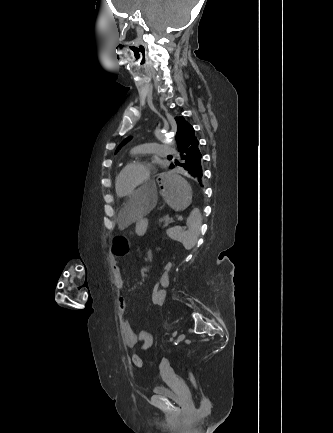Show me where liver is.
Returning a JSON list of instances; mask_svg holds the SVG:
<instances>
[{"label":"liver","mask_w":333,"mask_h":433,"mask_svg":"<svg viewBox=\"0 0 333 433\" xmlns=\"http://www.w3.org/2000/svg\"><path fill=\"white\" fill-rule=\"evenodd\" d=\"M141 192H130V201H120L118 214V228L124 230L137 220H141L144 215H148L158 200V193L155 192L157 186L155 183H141L139 186ZM151 201H154L153 205Z\"/></svg>","instance_id":"1"}]
</instances>
